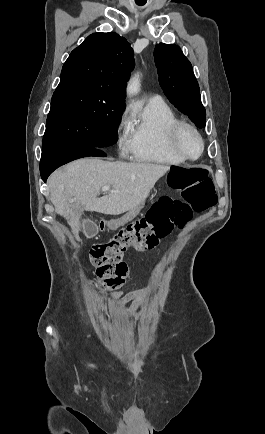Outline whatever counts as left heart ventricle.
<instances>
[{"label": "left heart ventricle", "mask_w": 265, "mask_h": 434, "mask_svg": "<svg viewBox=\"0 0 265 434\" xmlns=\"http://www.w3.org/2000/svg\"><path fill=\"white\" fill-rule=\"evenodd\" d=\"M183 153L188 157H196L199 155L201 146L194 134L186 132L180 140Z\"/></svg>", "instance_id": "obj_1"}]
</instances>
